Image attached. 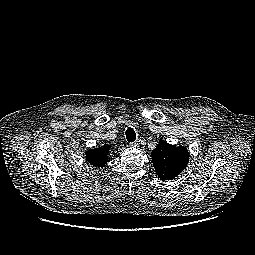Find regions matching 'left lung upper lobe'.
<instances>
[{
	"label": "left lung upper lobe",
	"mask_w": 255,
	"mask_h": 255,
	"mask_svg": "<svg viewBox=\"0 0 255 255\" xmlns=\"http://www.w3.org/2000/svg\"><path fill=\"white\" fill-rule=\"evenodd\" d=\"M152 162L156 174L161 180L177 177L189 162V152L184 146H174L160 140L152 151Z\"/></svg>",
	"instance_id": "1"
}]
</instances>
